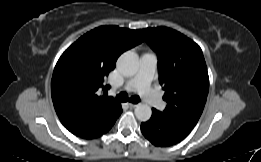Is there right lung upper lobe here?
Masks as SVG:
<instances>
[{"label": "right lung upper lobe", "mask_w": 261, "mask_h": 162, "mask_svg": "<svg viewBox=\"0 0 261 162\" xmlns=\"http://www.w3.org/2000/svg\"><path fill=\"white\" fill-rule=\"evenodd\" d=\"M141 42L138 30L101 26L84 34L61 55L53 72L51 94L66 129L84 139L110 130L122 108L105 95L109 86L104 80L117 58Z\"/></svg>", "instance_id": "right-lung-upper-lobe-1"}]
</instances>
